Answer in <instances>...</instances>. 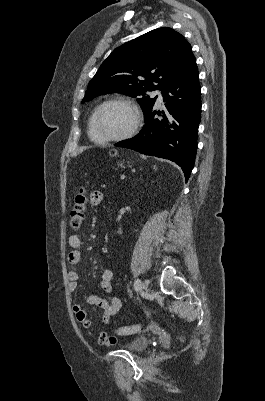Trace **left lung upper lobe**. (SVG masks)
Masks as SVG:
<instances>
[{
  "label": "left lung upper lobe",
  "instance_id": "5c2ea615",
  "mask_svg": "<svg viewBox=\"0 0 265 401\" xmlns=\"http://www.w3.org/2000/svg\"><path fill=\"white\" fill-rule=\"evenodd\" d=\"M191 56V45L183 35L168 27L152 30L108 56L89 82L82 103L108 93L142 96L137 102L145 114L156 100L146 92L168 85Z\"/></svg>",
  "mask_w": 265,
  "mask_h": 401
}]
</instances>
